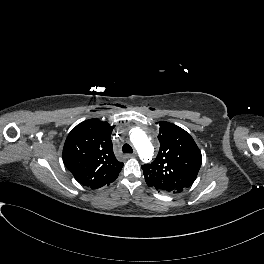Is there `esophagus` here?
I'll return each instance as SVG.
<instances>
[{"mask_svg": "<svg viewBox=\"0 0 264 264\" xmlns=\"http://www.w3.org/2000/svg\"><path fill=\"white\" fill-rule=\"evenodd\" d=\"M137 154L136 153H133V154H127L126 157L127 158H131V157H135Z\"/></svg>", "mask_w": 264, "mask_h": 264, "instance_id": "34e87169", "label": "esophagus"}]
</instances>
